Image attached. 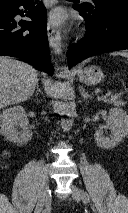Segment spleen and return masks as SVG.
<instances>
[{
  "label": "spleen",
  "instance_id": "spleen-1",
  "mask_svg": "<svg viewBox=\"0 0 128 213\" xmlns=\"http://www.w3.org/2000/svg\"><path fill=\"white\" fill-rule=\"evenodd\" d=\"M111 55H121V56H123V57L128 58V52H127V51H123V52H114V53H111Z\"/></svg>",
  "mask_w": 128,
  "mask_h": 213
}]
</instances>
